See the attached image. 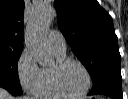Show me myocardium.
Returning a JSON list of instances; mask_svg holds the SVG:
<instances>
[{
    "label": "myocardium",
    "instance_id": "myocardium-1",
    "mask_svg": "<svg viewBox=\"0 0 128 99\" xmlns=\"http://www.w3.org/2000/svg\"><path fill=\"white\" fill-rule=\"evenodd\" d=\"M70 63H75L79 65L82 70L84 71L87 79L86 86L84 89L78 93H69L67 92L61 85L60 83V72L62 69L67 66ZM51 72V79H52V84L55 88V90L62 96L66 98H80L84 95H86L92 85V77L91 74L88 70V68L85 66L83 62H81L78 59L72 58V57H64L61 59H58L55 64L50 68Z\"/></svg>",
    "mask_w": 128,
    "mask_h": 99
}]
</instances>
